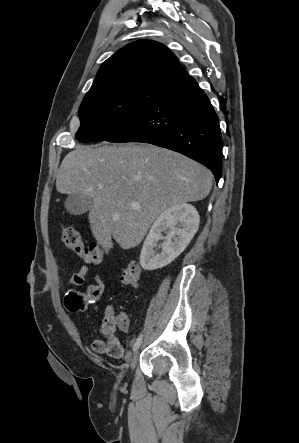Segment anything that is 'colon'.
<instances>
[{
  "mask_svg": "<svg viewBox=\"0 0 299 443\" xmlns=\"http://www.w3.org/2000/svg\"><path fill=\"white\" fill-rule=\"evenodd\" d=\"M63 243L70 248L80 259L89 265H99L105 255V251L96 243L85 246L79 232L70 225H63L60 230ZM139 266L136 262L127 263L121 273V281L128 285H137L139 281ZM126 318L123 314H118L111 324L113 330L124 328L126 326Z\"/></svg>",
  "mask_w": 299,
  "mask_h": 443,
  "instance_id": "1",
  "label": "colon"
}]
</instances>
